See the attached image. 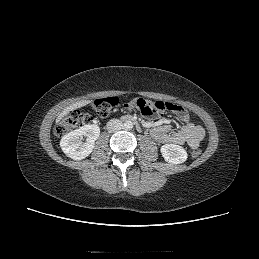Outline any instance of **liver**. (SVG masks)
<instances>
[{
  "label": "liver",
  "mask_w": 259,
  "mask_h": 259,
  "mask_svg": "<svg viewBox=\"0 0 259 259\" xmlns=\"http://www.w3.org/2000/svg\"><path fill=\"white\" fill-rule=\"evenodd\" d=\"M89 103H90L89 100H82V101H79V102H76V103L70 105L69 107H67L66 109H64V110L58 115V117H57V119H56V123H59L60 120H61L64 116H66L70 111L75 110V109H78V108H81V107H83V106H85V105H87V104H89Z\"/></svg>",
  "instance_id": "1"
}]
</instances>
